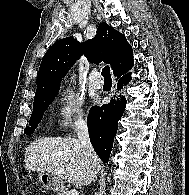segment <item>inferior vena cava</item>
Masks as SVG:
<instances>
[{"mask_svg": "<svg viewBox=\"0 0 189 195\" xmlns=\"http://www.w3.org/2000/svg\"><path fill=\"white\" fill-rule=\"evenodd\" d=\"M76 131L78 134V140L80 143L87 149L88 153L90 155L95 154L93 147L91 145L90 139H89V133H88V126L85 120L78 119L76 122ZM97 176L94 178V182Z\"/></svg>", "mask_w": 189, "mask_h": 195, "instance_id": "inferior-vena-cava-1", "label": "inferior vena cava"}]
</instances>
